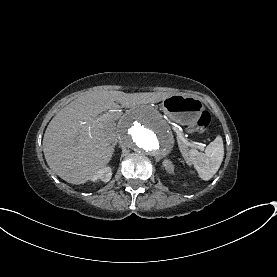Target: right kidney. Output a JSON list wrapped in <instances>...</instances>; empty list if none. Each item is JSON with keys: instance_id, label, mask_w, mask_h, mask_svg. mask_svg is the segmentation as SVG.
Wrapping results in <instances>:
<instances>
[{"instance_id": "ca27d5eb", "label": "right kidney", "mask_w": 277, "mask_h": 277, "mask_svg": "<svg viewBox=\"0 0 277 277\" xmlns=\"http://www.w3.org/2000/svg\"><path fill=\"white\" fill-rule=\"evenodd\" d=\"M112 172L109 168L101 169L97 176H94L92 179L95 180L97 178L101 179L103 182H108L111 179Z\"/></svg>"}]
</instances>
